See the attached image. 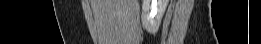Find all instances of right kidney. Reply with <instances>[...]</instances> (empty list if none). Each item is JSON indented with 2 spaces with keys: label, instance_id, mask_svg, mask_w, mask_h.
<instances>
[{
  "label": "right kidney",
  "instance_id": "obj_1",
  "mask_svg": "<svg viewBox=\"0 0 261 44\" xmlns=\"http://www.w3.org/2000/svg\"><path fill=\"white\" fill-rule=\"evenodd\" d=\"M168 0H143L141 20L144 29L156 33L165 13Z\"/></svg>",
  "mask_w": 261,
  "mask_h": 44
}]
</instances>
